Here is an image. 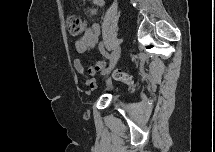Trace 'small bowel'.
<instances>
[{"label":"small bowel","instance_id":"obj_1","mask_svg":"<svg viewBox=\"0 0 215 152\" xmlns=\"http://www.w3.org/2000/svg\"><path fill=\"white\" fill-rule=\"evenodd\" d=\"M78 3L80 6L85 7L87 11L92 15L96 13L97 7H102L105 5L104 0H93L92 6H89L87 2L84 0H78ZM100 34L101 26L99 24L95 23L92 26H90L86 30L85 34L76 41L75 47L77 52L79 54H86L88 51L94 48L99 42ZM74 66L78 73L85 75L86 86L91 88L96 86L95 80L90 75L86 74L85 67L81 60L76 59L74 61Z\"/></svg>","mask_w":215,"mask_h":152}]
</instances>
